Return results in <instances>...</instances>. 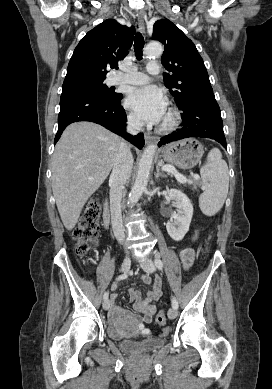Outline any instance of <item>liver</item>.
<instances>
[{
	"instance_id": "liver-1",
	"label": "liver",
	"mask_w": 272,
	"mask_h": 389,
	"mask_svg": "<svg viewBox=\"0 0 272 389\" xmlns=\"http://www.w3.org/2000/svg\"><path fill=\"white\" fill-rule=\"evenodd\" d=\"M121 141L91 122L64 130L52 158V190L67 230L75 227L85 203L108 177Z\"/></svg>"
}]
</instances>
